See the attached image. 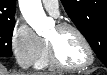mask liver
I'll return each instance as SVG.
<instances>
[{"label":"liver","instance_id":"1","mask_svg":"<svg viewBox=\"0 0 107 75\" xmlns=\"http://www.w3.org/2000/svg\"><path fill=\"white\" fill-rule=\"evenodd\" d=\"M0 75H8L5 68L3 67L0 68ZM12 75H44V74H31V73H25V72H18Z\"/></svg>","mask_w":107,"mask_h":75}]
</instances>
